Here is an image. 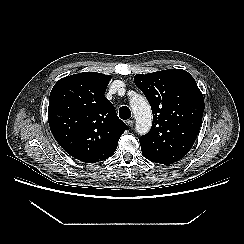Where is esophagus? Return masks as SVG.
I'll use <instances>...</instances> for the list:
<instances>
[{
    "instance_id": "34e87169",
    "label": "esophagus",
    "mask_w": 244,
    "mask_h": 244,
    "mask_svg": "<svg viewBox=\"0 0 244 244\" xmlns=\"http://www.w3.org/2000/svg\"><path fill=\"white\" fill-rule=\"evenodd\" d=\"M127 125L129 126V127H133V125H134V120H128L127 122Z\"/></svg>"
}]
</instances>
